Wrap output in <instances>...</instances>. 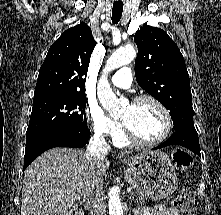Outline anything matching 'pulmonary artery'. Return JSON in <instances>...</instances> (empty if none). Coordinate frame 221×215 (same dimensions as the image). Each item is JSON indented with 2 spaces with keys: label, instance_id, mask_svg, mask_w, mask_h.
I'll list each match as a JSON object with an SVG mask.
<instances>
[{
  "label": "pulmonary artery",
  "instance_id": "1",
  "mask_svg": "<svg viewBox=\"0 0 221 215\" xmlns=\"http://www.w3.org/2000/svg\"><path fill=\"white\" fill-rule=\"evenodd\" d=\"M111 82L118 87H129L132 82V72L128 67L119 69L112 77Z\"/></svg>",
  "mask_w": 221,
  "mask_h": 215
}]
</instances>
